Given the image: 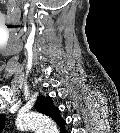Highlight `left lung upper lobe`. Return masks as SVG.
Masks as SVG:
<instances>
[{
    "instance_id": "left-lung-upper-lobe-1",
    "label": "left lung upper lobe",
    "mask_w": 120,
    "mask_h": 133,
    "mask_svg": "<svg viewBox=\"0 0 120 133\" xmlns=\"http://www.w3.org/2000/svg\"><path fill=\"white\" fill-rule=\"evenodd\" d=\"M35 108L37 111L46 114L50 116L52 119L56 120L57 124L59 126H63L65 122L60 118L59 116V109L54 107V105L51 102V98L47 97H40L37 100V103L35 105ZM4 118L5 116H0V127L3 129L4 127Z\"/></svg>"
}]
</instances>
